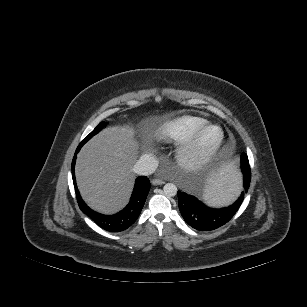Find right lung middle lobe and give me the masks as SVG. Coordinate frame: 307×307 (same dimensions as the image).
Masks as SVG:
<instances>
[{
    "mask_svg": "<svg viewBox=\"0 0 307 307\" xmlns=\"http://www.w3.org/2000/svg\"><path fill=\"white\" fill-rule=\"evenodd\" d=\"M105 125V122L99 123V125L81 142V144L83 145L84 143H86L90 138L96 135Z\"/></svg>",
    "mask_w": 307,
    "mask_h": 307,
    "instance_id": "dd1d6c3e",
    "label": "right lung middle lobe"
}]
</instances>
